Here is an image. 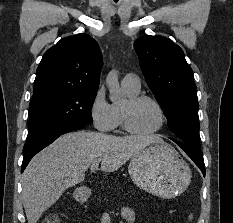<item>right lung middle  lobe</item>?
I'll return each mask as SVG.
<instances>
[{
  "label": "right lung middle lobe",
  "mask_w": 233,
  "mask_h": 223,
  "mask_svg": "<svg viewBox=\"0 0 233 223\" xmlns=\"http://www.w3.org/2000/svg\"><path fill=\"white\" fill-rule=\"evenodd\" d=\"M95 96L96 91L79 90H55L33 95L24 154L66 125L86 126L91 123Z\"/></svg>",
  "instance_id": "dd1d6c3e"
}]
</instances>
